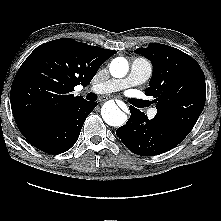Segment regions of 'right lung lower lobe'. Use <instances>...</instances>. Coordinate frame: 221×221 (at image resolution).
Masks as SVG:
<instances>
[{
    "label": "right lung lower lobe",
    "mask_w": 221,
    "mask_h": 221,
    "mask_svg": "<svg viewBox=\"0 0 221 221\" xmlns=\"http://www.w3.org/2000/svg\"><path fill=\"white\" fill-rule=\"evenodd\" d=\"M96 106L97 102H82L72 111L44 123L25 138L46 153H63L76 143L85 119Z\"/></svg>",
    "instance_id": "right-lung-lower-lobe-1"
}]
</instances>
